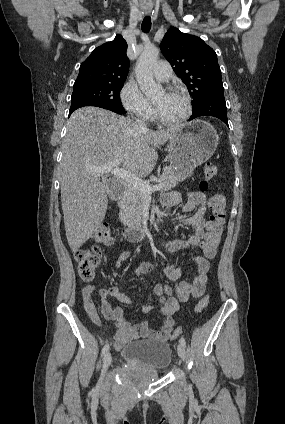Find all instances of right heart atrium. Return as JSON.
<instances>
[{
  "instance_id": "1",
  "label": "right heart atrium",
  "mask_w": 285,
  "mask_h": 424,
  "mask_svg": "<svg viewBox=\"0 0 285 424\" xmlns=\"http://www.w3.org/2000/svg\"><path fill=\"white\" fill-rule=\"evenodd\" d=\"M120 100L125 110L136 119L152 118L153 107L134 80H128L120 91Z\"/></svg>"
}]
</instances>
